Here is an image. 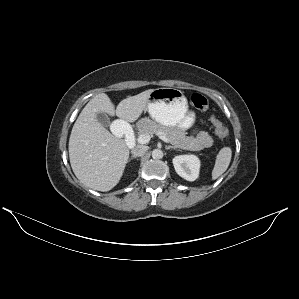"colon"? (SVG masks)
<instances>
[{
    "label": "colon",
    "instance_id": "5ec220e1",
    "mask_svg": "<svg viewBox=\"0 0 299 299\" xmlns=\"http://www.w3.org/2000/svg\"><path fill=\"white\" fill-rule=\"evenodd\" d=\"M190 102L193 107H195L196 109H198L200 111L209 110V103H208L207 98L200 93H197V92L192 93L190 95ZM211 121L214 125L216 134L220 138H225L229 133L227 126L222 124L214 115L211 116Z\"/></svg>",
    "mask_w": 299,
    "mask_h": 299
}]
</instances>
